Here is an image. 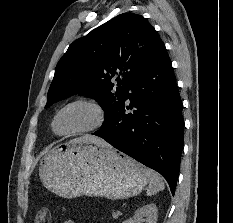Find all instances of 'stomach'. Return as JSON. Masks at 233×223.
<instances>
[{"label": "stomach", "instance_id": "1", "mask_svg": "<svg viewBox=\"0 0 233 223\" xmlns=\"http://www.w3.org/2000/svg\"><path fill=\"white\" fill-rule=\"evenodd\" d=\"M44 187L60 197L127 199L148 183L147 167L113 147L91 141L58 143L39 165Z\"/></svg>", "mask_w": 233, "mask_h": 223}]
</instances>
